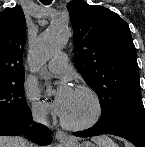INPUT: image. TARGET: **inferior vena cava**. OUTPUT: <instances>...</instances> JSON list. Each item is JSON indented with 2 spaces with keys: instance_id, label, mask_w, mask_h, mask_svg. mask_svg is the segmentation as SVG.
<instances>
[{
  "instance_id": "602c4592",
  "label": "inferior vena cava",
  "mask_w": 145,
  "mask_h": 147,
  "mask_svg": "<svg viewBox=\"0 0 145 147\" xmlns=\"http://www.w3.org/2000/svg\"><path fill=\"white\" fill-rule=\"evenodd\" d=\"M33 120L37 123L44 124L46 122V112L44 110L34 112Z\"/></svg>"
}]
</instances>
